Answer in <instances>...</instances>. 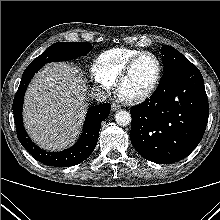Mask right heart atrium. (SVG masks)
Here are the masks:
<instances>
[{
	"mask_svg": "<svg viewBox=\"0 0 220 220\" xmlns=\"http://www.w3.org/2000/svg\"><path fill=\"white\" fill-rule=\"evenodd\" d=\"M91 76L93 81L103 89H109L111 87V84H109L97 71L96 64L91 66Z\"/></svg>",
	"mask_w": 220,
	"mask_h": 220,
	"instance_id": "right-heart-atrium-1",
	"label": "right heart atrium"
}]
</instances>
